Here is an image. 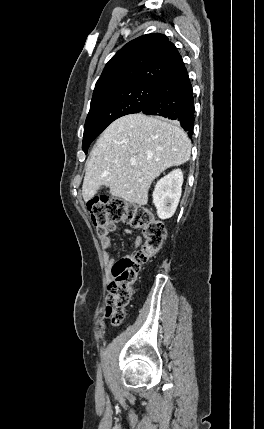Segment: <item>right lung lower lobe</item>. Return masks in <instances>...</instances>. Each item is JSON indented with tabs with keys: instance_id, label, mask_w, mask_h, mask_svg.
Wrapping results in <instances>:
<instances>
[{
	"instance_id": "right-lung-lower-lobe-1",
	"label": "right lung lower lobe",
	"mask_w": 264,
	"mask_h": 429,
	"mask_svg": "<svg viewBox=\"0 0 264 429\" xmlns=\"http://www.w3.org/2000/svg\"><path fill=\"white\" fill-rule=\"evenodd\" d=\"M147 115H159L180 122L191 138L194 127V98L183 62L157 87L141 110Z\"/></svg>"
}]
</instances>
